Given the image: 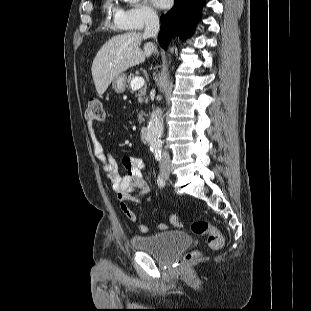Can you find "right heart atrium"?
Here are the masks:
<instances>
[{
  "label": "right heart atrium",
  "mask_w": 311,
  "mask_h": 311,
  "mask_svg": "<svg viewBox=\"0 0 311 311\" xmlns=\"http://www.w3.org/2000/svg\"><path fill=\"white\" fill-rule=\"evenodd\" d=\"M158 19L156 11L146 3H135L122 10L121 22L126 30L140 31Z\"/></svg>",
  "instance_id": "d8ad5b80"
}]
</instances>
